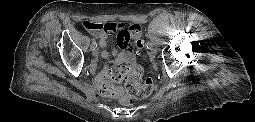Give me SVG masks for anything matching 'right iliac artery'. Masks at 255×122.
<instances>
[{
	"label": "right iliac artery",
	"instance_id": "obj_1",
	"mask_svg": "<svg viewBox=\"0 0 255 122\" xmlns=\"http://www.w3.org/2000/svg\"><path fill=\"white\" fill-rule=\"evenodd\" d=\"M92 46H97V43H96V41H95V40H93V42H92Z\"/></svg>",
	"mask_w": 255,
	"mask_h": 122
}]
</instances>
